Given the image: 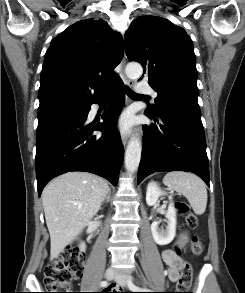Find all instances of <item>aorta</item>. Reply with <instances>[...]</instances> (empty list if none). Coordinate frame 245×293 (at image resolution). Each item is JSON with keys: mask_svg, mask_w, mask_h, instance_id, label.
<instances>
[{"mask_svg": "<svg viewBox=\"0 0 245 293\" xmlns=\"http://www.w3.org/2000/svg\"><path fill=\"white\" fill-rule=\"evenodd\" d=\"M125 73L130 78H138L143 73V68L139 63H129ZM141 141L138 137H132L125 152V168L128 172H135L138 169L141 159Z\"/></svg>", "mask_w": 245, "mask_h": 293, "instance_id": "obj_1", "label": "aorta"}]
</instances>
